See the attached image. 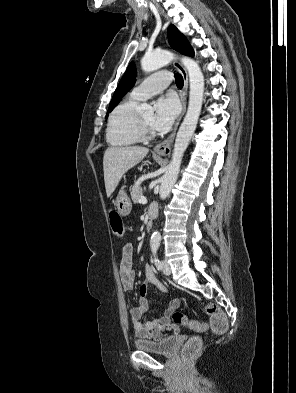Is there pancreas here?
Returning a JSON list of instances; mask_svg holds the SVG:
<instances>
[{"label":"pancreas","mask_w":296,"mask_h":393,"mask_svg":"<svg viewBox=\"0 0 296 393\" xmlns=\"http://www.w3.org/2000/svg\"><path fill=\"white\" fill-rule=\"evenodd\" d=\"M143 196L142 188L140 185L135 184L131 189V198L134 204L139 203L140 198Z\"/></svg>","instance_id":"pancreas-1"}]
</instances>
